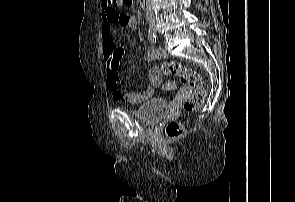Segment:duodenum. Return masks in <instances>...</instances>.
<instances>
[{
  "instance_id": "410a0bca",
  "label": "duodenum",
  "mask_w": 295,
  "mask_h": 202,
  "mask_svg": "<svg viewBox=\"0 0 295 202\" xmlns=\"http://www.w3.org/2000/svg\"><path fill=\"white\" fill-rule=\"evenodd\" d=\"M141 8L145 9L148 3V0H137Z\"/></svg>"
}]
</instances>
